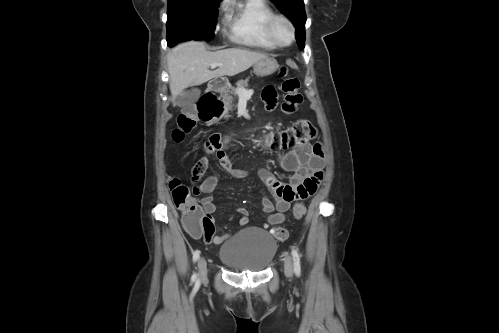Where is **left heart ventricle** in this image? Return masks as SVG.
I'll use <instances>...</instances> for the list:
<instances>
[{
  "label": "left heart ventricle",
  "instance_id": "1",
  "mask_svg": "<svg viewBox=\"0 0 499 333\" xmlns=\"http://www.w3.org/2000/svg\"><path fill=\"white\" fill-rule=\"evenodd\" d=\"M275 31L277 36L282 40V41H287L289 38V31H288V26L286 23L280 21L276 24Z\"/></svg>",
  "mask_w": 499,
  "mask_h": 333
}]
</instances>
